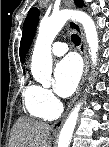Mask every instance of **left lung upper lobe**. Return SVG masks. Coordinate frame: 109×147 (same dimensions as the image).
Wrapping results in <instances>:
<instances>
[{"label":"left lung upper lobe","mask_w":109,"mask_h":147,"mask_svg":"<svg viewBox=\"0 0 109 147\" xmlns=\"http://www.w3.org/2000/svg\"><path fill=\"white\" fill-rule=\"evenodd\" d=\"M75 4L78 7L84 6V2L82 0H75ZM38 19H39V10L37 8H31L28 12V15L23 25V35L20 43L21 62H24L26 53L29 50L32 40L34 38Z\"/></svg>","instance_id":"left-lung-upper-lobe-1"}]
</instances>
